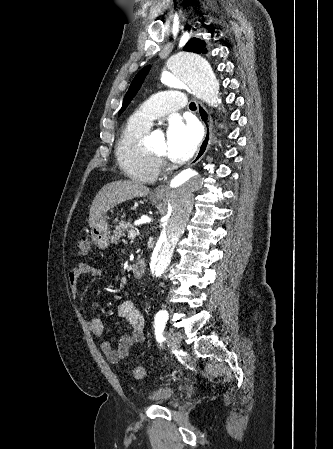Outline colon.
Masks as SVG:
<instances>
[{"label":"colon","instance_id":"5ec220e1","mask_svg":"<svg viewBox=\"0 0 333 449\" xmlns=\"http://www.w3.org/2000/svg\"><path fill=\"white\" fill-rule=\"evenodd\" d=\"M91 250L90 241L87 237H82L78 241V254L80 256H87ZM133 375L136 379H142L145 376V370L141 366H137L133 369Z\"/></svg>","mask_w":333,"mask_h":449}]
</instances>
